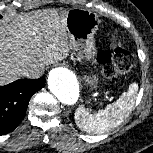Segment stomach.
I'll list each match as a JSON object with an SVG mask.
<instances>
[{"label":"stomach","instance_id":"stomach-1","mask_svg":"<svg viewBox=\"0 0 153 153\" xmlns=\"http://www.w3.org/2000/svg\"><path fill=\"white\" fill-rule=\"evenodd\" d=\"M99 19L96 15L78 9H71L65 17V29L69 37L70 47L78 60L96 63V47L94 34L98 30ZM84 83L91 89L99 87V78L94 74L85 75Z\"/></svg>","mask_w":153,"mask_h":153}]
</instances>
